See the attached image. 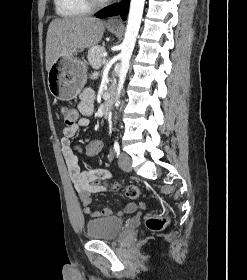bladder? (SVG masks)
Here are the masks:
<instances>
[{
	"label": "bladder",
	"mask_w": 247,
	"mask_h": 280,
	"mask_svg": "<svg viewBox=\"0 0 247 280\" xmlns=\"http://www.w3.org/2000/svg\"><path fill=\"white\" fill-rule=\"evenodd\" d=\"M124 229V220L118 217H104L89 220L86 235L91 240L116 239Z\"/></svg>",
	"instance_id": "bladder-1"
}]
</instances>
